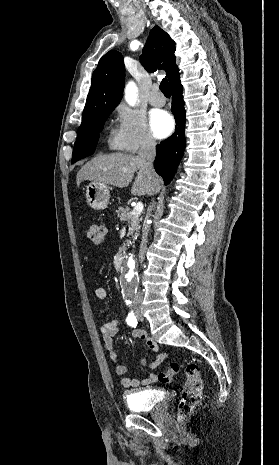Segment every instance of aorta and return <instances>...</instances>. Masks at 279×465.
Segmentation results:
<instances>
[{"mask_svg": "<svg viewBox=\"0 0 279 465\" xmlns=\"http://www.w3.org/2000/svg\"><path fill=\"white\" fill-rule=\"evenodd\" d=\"M137 87L134 82H129L125 88V99L129 105L136 103ZM124 286L126 288L134 285L136 281L135 260L132 256L127 259L126 266L123 273Z\"/></svg>", "mask_w": 279, "mask_h": 465, "instance_id": "1", "label": "aorta"}]
</instances>
